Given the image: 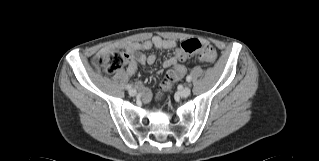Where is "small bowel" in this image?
Returning <instances> with one entry per match:
<instances>
[{
  "instance_id": "small-bowel-1",
  "label": "small bowel",
  "mask_w": 319,
  "mask_h": 161,
  "mask_svg": "<svg viewBox=\"0 0 319 161\" xmlns=\"http://www.w3.org/2000/svg\"><path fill=\"white\" fill-rule=\"evenodd\" d=\"M204 46H208L206 40L203 41ZM155 47L160 50H173L177 47V43L174 40H167L159 36H154L151 40L141 41V42H127L120 43L117 46L108 45L102 48V53H107L113 51L115 48L124 50L125 54L128 57L127 60V75L131 76L137 70V63L141 65H152L156 62L157 57L154 54L149 56L141 54L142 51H146ZM165 67H170L172 69H179L178 78L181 79L186 70L181 62L177 61L176 55L170 59H167L163 62ZM138 86L141 88V100L143 103H148L151 98V92L149 89L142 86L141 83H138Z\"/></svg>"
}]
</instances>
